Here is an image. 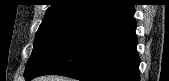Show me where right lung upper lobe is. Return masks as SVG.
<instances>
[{"instance_id":"obj_1","label":"right lung upper lobe","mask_w":169,"mask_h":81,"mask_svg":"<svg viewBox=\"0 0 169 81\" xmlns=\"http://www.w3.org/2000/svg\"><path fill=\"white\" fill-rule=\"evenodd\" d=\"M124 3L125 0H54L44 19L74 16L89 21Z\"/></svg>"}]
</instances>
